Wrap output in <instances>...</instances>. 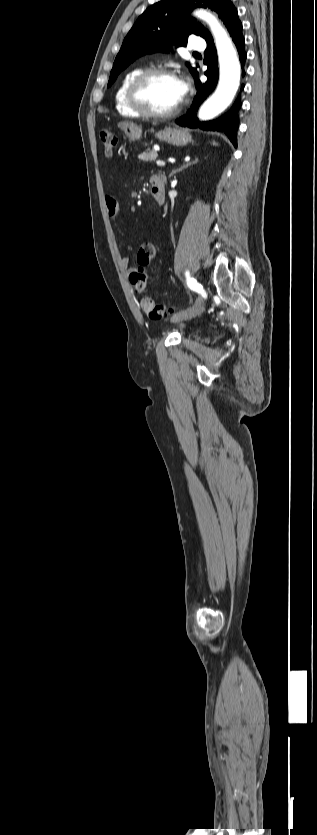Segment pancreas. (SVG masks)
I'll return each instance as SVG.
<instances>
[{
  "instance_id": "obj_1",
  "label": "pancreas",
  "mask_w": 317,
  "mask_h": 835,
  "mask_svg": "<svg viewBox=\"0 0 317 835\" xmlns=\"http://www.w3.org/2000/svg\"><path fill=\"white\" fill-rule=\"evenodd\" d=\"M157 157H158V154H157V151H155V150H147V152H143V153L138 155V158L140 160H143V161H146V162L155 161L157 159Z\"/></svg>"
}]
</instances>
